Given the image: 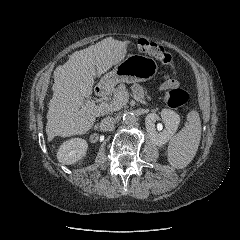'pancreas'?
<instances>
[{
	"mask_svg": "<svg viewBox=\"0 0 240 240\" xmlns=\"http://www.w3.org/2000/svg\"><path fill=\"white\" fill-rule=\"evenodd\" d=\"M120 96L128 98V91H127V88H126L125 84H120L113 90V100H116ZM147 98H148V100H151L150 96H147ZM127 101L128 100L120 101V103H119V105L117 107V110L121 109L122 107H124L126 105Z\"/></svg>",
	"mask_w": 240,
	"mask_h": 240,
	"instance_id": "pancreas-1",
	"label": "pancreas"
}]
</instances>
